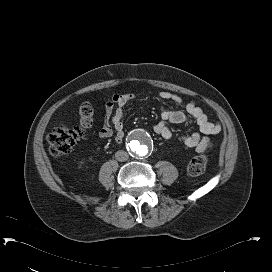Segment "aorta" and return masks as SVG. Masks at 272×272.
I'll return each mask as SVG.
<instances>
[{
    "label": "aorta",
    "instance_id": "obj_1",
    "mask_svg": "<svg viewBox=\"0 0 272 272\" xmlns=\"http://www.w3.org/2000/svg\"><path fill=\"white\" fill-rule=\"evenodd\" d=\"M152 145L150 134L143 129H137L131 133L127 147L133 157L144 158L150 153Z\"/></svg>",
    "mask_w": 272,
    "mask_h": 272
}]
</instances>
